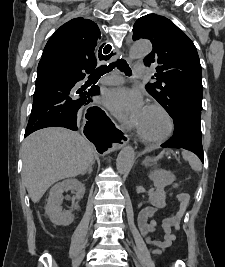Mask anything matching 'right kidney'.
Returning a JSON list of instances; mask_svg holds the SVG:
<instances>
[{"label": "right kidney", "mask_w": 225, "mask_h": 267, "mask_svg": "<svg viewBox=\"0 0 225 267\" xmlns=\"http://www.w3.org/2000/svg\"><path fill=\"white\" fill-rule=\"evenodd\" d=\"M69 190L75 191L76 198L79 200L85 194V185L77 179L71 178L55 184L49 192L45 210L51 222L56 225L67 226L74 220L71 211H63L61 208L62 194Z\"/></svg>", "instance_id": "1"}]
</instances>
